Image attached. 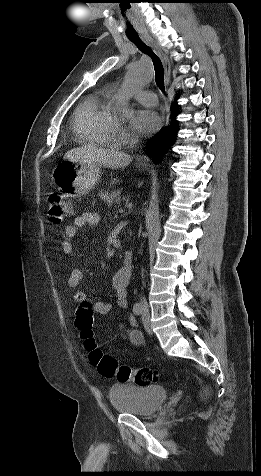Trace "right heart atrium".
Masks as SVG:
<instances>
[{
	"label": "right heart atrium",
	"mask_w": 261,
	"mask_h": 476,
	"mask_svg": "<svg viewBox=\"0 0 261 476\" xmlns=\"http://www.w3.org/2000/svg\"><path fill=\"white\" fill-rule=\"evenodd\" d=\"M114 136L117 140H125L131 136V132L126 127L117 125Z\"/></svg>",
	"instance_id": "obj_1"
}]
</instances>
